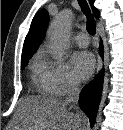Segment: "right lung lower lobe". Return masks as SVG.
Segmentation results:
<instances>
[{"instance_id": "obj_1", "label": "right lung lower lobe", "mask_w": 123, "mask_h": 130, "mask_svg": "<svg viewBox=\"0 0 123 130\" xmlns=\"http://www.w3.org/2000/svg\"><path fill=\"white\" fill-rule=\"evenodd\" d=\"M100 55H103V44L100 43ZM104 70H102L93 81L89 82L81 91L79 106L89 117L90 125L93 127L96 121L98 106L102 93Z\"/></svg>"}]
</instances>
